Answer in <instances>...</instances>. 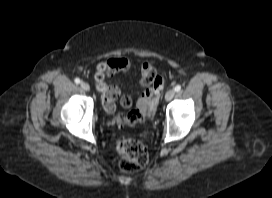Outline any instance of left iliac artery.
<instances>
[{
	"mask_svg": "<svg viewBox=\"0 0 272 198\" xmlns=\"http://www.w3.org/2000/svg\"><path fill=\"white\" fill-rule=\"evenodd\" d=\"M174 90H175L176 92H179V91L181 90V86H180V85H177V86L174 88Z\"/></svg>",
	"mask_w": 272,
	"mask_h": 198,
	"instance_id": "1",
	"label": "left iliac artery"
}]
</instances>
